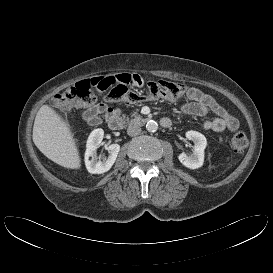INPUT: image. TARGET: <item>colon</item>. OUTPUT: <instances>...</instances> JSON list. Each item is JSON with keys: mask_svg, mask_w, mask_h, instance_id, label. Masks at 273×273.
Returning a JSON list of instances; mask_svg holds the SVG:
<instances>
[{"mask_svg": "<svg viewBox=\"0 0 273 273\" xmlns=\"http://www.w3.org/2000/svg\"><path fill=\"white\" fill-rule=\"evenodd\" d=\"M137 82V75L126 73L81 80L57 95L53 106L57 111L65 112L74 107L91 105L95 101V91L106 92L108 101L125 100L131 103H137L143 99L172 100L182 96L186 91V86L182 83L158 80L149 82L147 95L141 96L129 90V86ZM231 145L235 151H243L248 146L247 136L243 132L236 133Z\"/></svg>", "mask_w": 273, "mask_h": 273, "instance_id": "1", "label": "colon"}]
</instances>
